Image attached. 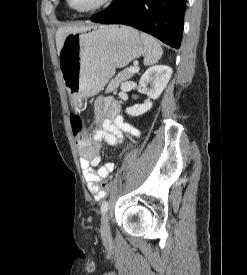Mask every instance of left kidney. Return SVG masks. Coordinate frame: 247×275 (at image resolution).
I'll return each mask as SVG.
<instances>
[{
    "label": "left kidney",
    "mask_w": 247,
    "mask_h": 275,
    "mask_svg": "<svg viewBox=\"0 0 247 275\" xmlns=\"http://www.w3.org/2000/svg\"><path fill=\"white\" fill-rule=\"evenodd\" d=\"M172 76V69L166 65H155L146 70L139 81L142 91L152 100L157 99L166 88ZM152 108V101L136 104L126 109L131 116H140Z\"/></svg>",
    "instance_id": "left-kidney-1"
}]
</instances>
